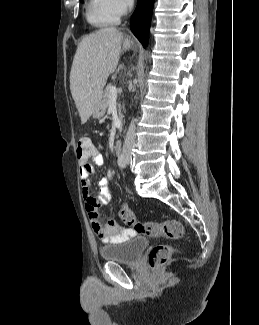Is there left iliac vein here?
Masks as SVG:
<instances>
[{
	"label": "left iliac vein",
	"mask_w": 259,
	"mask_h": 325,
	"mask_svg": "<svg viewBox=\"0 0 259 325\" xmlns=\"http://www.w3.org/2000/svg\"><path fill=\"white\" fill-rule=\"evenodd\" d=\"M127 162H128V163L130 162V158H129V157H127Z\"/></svg>",
	"instance_id": "1"
}]
</instances>
